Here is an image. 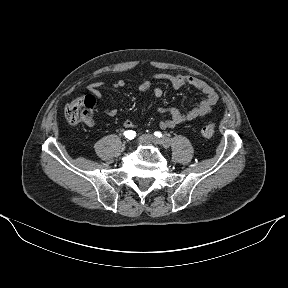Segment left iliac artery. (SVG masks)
<instances>
[{
	"instance_id": "obj_1",
	"label": "left iliac artery",
	"mask_w": 288,
	"mask_h": 288,
	"mask_svg": "<svg viewBox=\"0 0 288 288\" xmlns=\"http://www.w3.org/2000/svg\"><path fill=\"white\" fill-rule=\"evenodd\" d=\"M154 135H155L156 137H158V138L162 137V134H161V132H159V131H155V132H154Z\"/></svg>"
}]
</instances>
